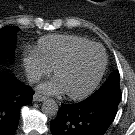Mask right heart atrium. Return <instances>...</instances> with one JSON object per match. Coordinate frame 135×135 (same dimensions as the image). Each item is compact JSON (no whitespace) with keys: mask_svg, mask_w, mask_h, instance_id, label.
<instances>
[{"mask_svg":"<svg viewBox=\"0 0 135 135\" xmlns=\"http://www.w3.org/2000/svg\"><path fill=\"white\" fill-rule=\"evenodd\" d=\"M22 64L31 82L38 81L50 72V68L35 50L23 55Z\"/></svg>","mask_w":135,"mask_h":135,"instance_id":"obj_1","label":"right heart atrium"}]
</instances>
